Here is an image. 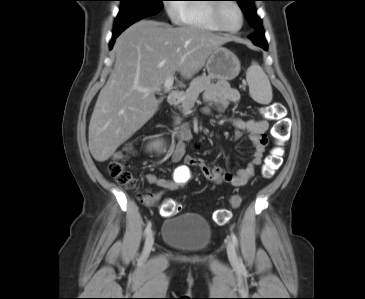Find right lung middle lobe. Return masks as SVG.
Returning a JSON list of instances; mask_svg holds the SVG:
<instances>
[{
  "mask_svg": "<svg viewBox=\"0 0 365 299\" xmlns=\"http://www.w3.org/2000/svg\"><path fill=\"white\" fill-rule=\"evenodd\" d=\"M120 11L115 24L125 21L140 20L155 15L163 8V0H119Z\"/></svg>",
  "mask_w": 365,
  "mask_h": 299,
  "instance_id": "right-lung-middle-lobe-1",
  "label": "right lung middle lobe"
}]
</instances>
